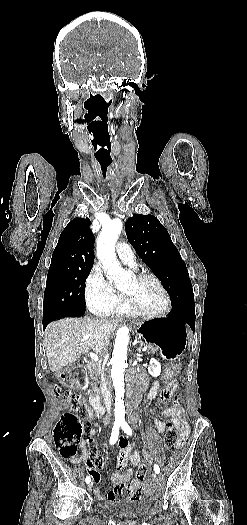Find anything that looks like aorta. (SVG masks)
<instances>
[{
    "instance_id": "obj_1",
    "label": "aorta",
    "mask_w": 247,
    "mask_h": 525,
    "mask_svg": "<svg viewBox=\"0 0 247 525\" xmlns=\"http://www.w3.org/2000/svg\"><path fill=\"white\" fill-rule=\"evenodd\" d=\"M123 223L120 219H113L103 226L97 239V257L105 270L107 277L117 288H122L129 279V274L121 268L115 254V243L122 231ZM129 344V330L119 328L112 353L111 377L115 389V420L125 421L124 407V370L127 365V347Z\"/></svg>"
}]
</instances>
